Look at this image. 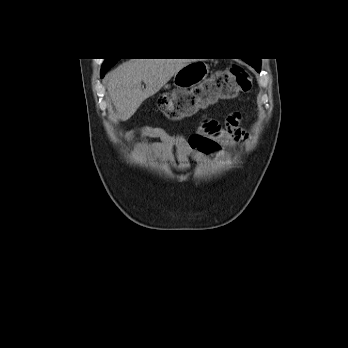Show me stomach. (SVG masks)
Listing matches in <instances>:
<instances>
[{
  "label": "stomach",
  "mask_w": 348,
  "mask_h": 348,
  "mask_svg": "<svg viewBox=\"0 0 348 348\" xmlns=\"http://www.w3.org/2000/svg\"><path fill=\"white\" fill-rule=\"evenodd\" d=\"M208 73L209 67L202 61L188 63L175 73L173 84L182 95L181 109L184 116H191L199 109H205L216 101L215 98L205 97L203 92L192 91L207 77Z\"/></svg>",
  "instance_id": "0dacf381"
}]
</instances>
